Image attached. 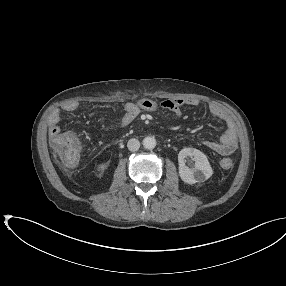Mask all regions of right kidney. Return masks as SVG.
<instances>
[{
  "instance_id": "1",
  "label": "right kidney",
  "mask_w": 286,
  "mask_h": 286,
  "mask_svg": "<svg viewBox=\"0 0 286 286\" xmlns=\"http://www.w3.org/2000/svg\"><path fill=\"white\" fill-rule=\"evenodd\" d=\"M97 170L102 172L104 170V165L103 164L99 165Z\"/></svg>"
}]
</instances>
